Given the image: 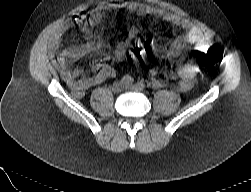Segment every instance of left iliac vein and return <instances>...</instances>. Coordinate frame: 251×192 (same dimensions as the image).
Listing matches in <instances>:
<instances>
[{"label": "left iliac vein", "mask_w": 251, "mask_h": 192, "mask_svg": "<svg viewBox=\"0 0 251 192\" xmlns=\"http://www.w3.org/2000/svg\"><path fill=\"white\" fill-rule=\"evenodd\" d=\"M125 90H137V88L133 85H125Z\"/></svg>", "instance_id": "4c4485c4"}]
</instances>
